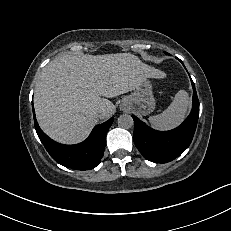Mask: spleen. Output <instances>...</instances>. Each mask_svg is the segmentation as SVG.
<instances>
[{
  "instance_id": "obj_1",
  "label": "spleen",
  "mask_w": 231,
  "mask_h": 231,
  "mask_svg": "<svg viewBox=\"0 0 231 231\" xmlns=\"http://www.w3.org/2000/svg\"><path fill=\"white\" fill-rule=\"evenodd\" d=\"M189 106V96L180 90L172 103L160 114L150 116L151 126L157 130L166 131L180 125L184 120Z\"/></svg>"
}]
</instances>
